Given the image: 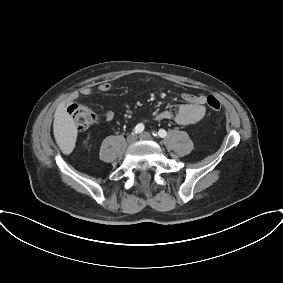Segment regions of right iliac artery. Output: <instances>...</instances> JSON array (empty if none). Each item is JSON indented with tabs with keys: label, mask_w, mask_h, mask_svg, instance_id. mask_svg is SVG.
I'll use <instances>...</instances> for the list:
<instances>
[{
	"label": "right iliac artery",
	"mask_w": 283,
	"mask_h": 283,
	"mask_svg": "<svg viewBox=\"0 0 283 283\" xmlns=\"http://www.w3.org/2000/svg\"><path fill=\"white\" fill-rule=\"evenodd\" d=\"M144 130V125L142 123L137 124L136 127L134 128V133L139 134Z\"/></svg>",
	"instance_id": "obj_1"
}]
</instances>
